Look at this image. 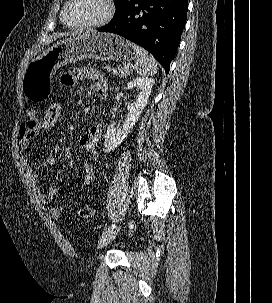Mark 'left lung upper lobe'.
Returning a JSON list of instances; mask_svg holds the SVG:
<instances>
[{
  "instance_id": "left-lung-upper-lobe-1",
  "label": "left lung upper lobe",
  "mask_w": 272,
  "mask_h": 303,
  "mask_svg": "<svg viewBox=\"0 0 272 303\" xmlns=\"http://www.w3.org/2000/svg\"><path fill=\"white\" fill-rule=\"evenodd\" d=\"M116 7H117V12L116 15L113 19L118 18L122 16L126 11L132 7L137 0H114Z\"/></svg>"
}]
</instances>
